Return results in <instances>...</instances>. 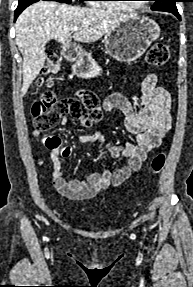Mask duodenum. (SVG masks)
Instances as JSON below:
<instances>
[{
    "label": "duodenum",
    "instance_id": "duodenum-1",
    "mask_svg": "<svg viewBox=\"0 0 193 287\" xmlns=\"http://www.w3.org/2000/svg\"><path fill=\"white\" fill-rule=\"evenodd\" d=\"M63 54L67 58H74L77 55V49L75 46H66L63 50Z\"/></svg>",
    "mask_w": 193,
    "mask_h": 287
}]
</instances>
